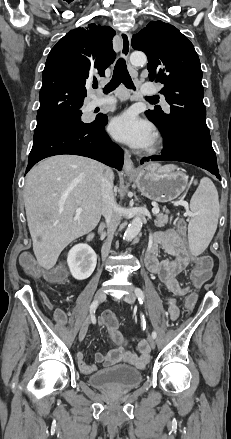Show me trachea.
<instances>
[{
    "instance_id": "obj_1",
    "label": "trachea",
    "mask_w": 231,
    "mask_h": 439,
    "mask_svg": "<svg viewBox=\"0 0 231 439\" xmlns=\"http://www.w3.org/2000/svg\"><path fill=\"white\" fill-rule=\"evenodd\" d=\"M121 83H123L127 88L134 89V84L127 70L126 62L123 58L118 59L114 67L113 76L111 81L103 89L105 94H108L115 90ZM97 88V85L94 86ZM149 100H157L156 96L146 97Z\"/></svg>"
}]
</instances>
